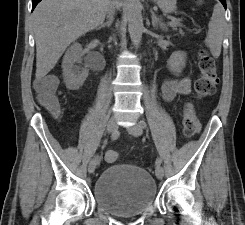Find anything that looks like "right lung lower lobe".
Returning a JSON list of instances; mask_svg holds the SVG:
<instances>
[{
    "mask_svg": "<svg viewBox=\"0 0 245 225\" xmlns=\"http://www.w3.org/2000/svg\"><path fill=\"white\" fill-rule=\"evenodd\" d=\"M41 0H32V10L36 7V5L40 2Z\"/></svg>",
    "mask_w": 245,
    "mask_h": 225,
    "instance_id": "obj_1",
    "label": "right lung lower lobe"
}]
</instances>
